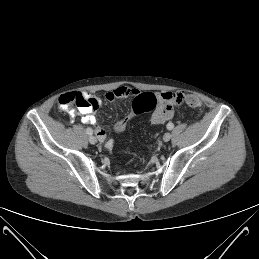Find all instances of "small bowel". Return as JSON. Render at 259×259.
Returning a JSON list of instances; mask_svg holds the SVG:
<instances>
[{
  "instance_id": "1",
  "label": "small bowel",
  "mask_w": 259,
  "mask_h": 259,
  "mask_svg": "<svg viewBox=\"0 0 259 259\" xmlns=\"http://www.w3.org/2000/svg\"><path fill=\"white\" fill-rule=\"evenodd\" d=\"M138 93L137 89L120 86L107 92L105 98L108 102H113ZM182 97L183 94L179 92L165 91L158 94V105L151 115V123L160 125L170 120L174 116V107L181 103ZM58 104L64 111H69L72 105L78 106V110L73 114L81 116L83 124L94 126V131L99 141L103 142L105 140L106 132L103 127L96 125V118L93 115V112L102 104L99 98L87 93L70 92L61 95L58 99Z\"/></svg>"
}]
</instances>
